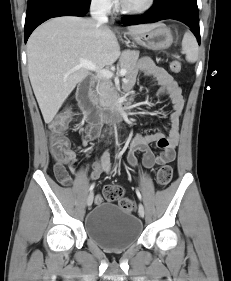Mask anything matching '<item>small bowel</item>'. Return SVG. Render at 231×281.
Listing matches in <instances>:
<instances>
[{
  "label": "small bowel",
  "mask_w": 231,
  "mask_h": 281,
  "mask_svg": "<svg viewBox=\"0 0 231 281\" xmlns=\"http://www.w3.org/2000/svg\"><path fill=\"white\" fill-rule=\"evenodd\" d=\"M139 71L156 82L158 85V95L167 96L172 104L168 133L165 135L157 132L135 136L127 155L128 163L132 167H138L139 163L136 152H142V165L145 168L151 169L172 162L176 157L175 149L179 141V121L184 106V99L178 83L163 68L157 66L149 57L142 58L139 61L137 71L133 72L127 78L125 83L126 90L131 89L135 85ZM79 132L81 135L82 147H86L98 136V130L91 126H83L80 128ZM151 144H156V146L160 149L159 154H155L150 149ZM75 163L76 155L71 151L66 163L54 164V174L59 183L64 186H69L72 182V179L66 170L65 164L68 165L73 175L79 176ZM110 171H112L110 153L105 151L101 158L93 164V171L90 174L89 179L96 180L103 172Z\"/></svg>",
  "instance_id": "small-bowel-1"
}]
</instances>
